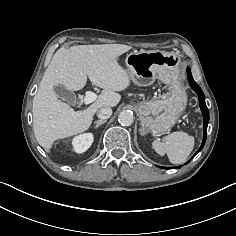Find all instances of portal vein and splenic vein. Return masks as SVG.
<instances>
[{
    "label": "portal vein and splenic vein",
    "instance_id": "obj_1",
    "mask_svg": "<svg viewBox=\"0 0 236 236\" xmlns=\"http://www.w3.org/2000/svg\"><path fill=\"white\" fill-rule=\"evenodd\" d=\"M97 98L96 94L92 91H87L84 98V104L88 105L95 101Z\"/></svg>",
    "mask_w": 236,
    "mask_h": 236
}]
</instances>
